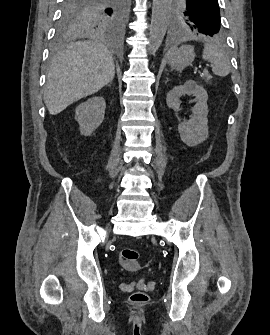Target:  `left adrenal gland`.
Here are the masks:
<instances>
[{"label": "left adrenal gland", "mask_w": 270, "mask_h": 335, "mask_svg": "<svg viewBox=\"0 0 270 335\" xmlns=\"http://www.w3.org/2000/svg\"><path fill=\"white\" fill-rule=\"evenodd\" d=\"M167 82H169L168 78H166V82H165V84H167Z\"/></svg>", "instance_id": "left-adrenal-gland-1"}]
</instances>
